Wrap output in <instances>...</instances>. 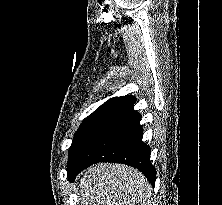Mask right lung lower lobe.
Instances as JSON below:
<instances>
[{"mask_svg": "<svg viewBox=\"0 0 222 205\" xmlns=\"http://www.w3.org/2000/svg\"><path fill=\"white\" fill-rule=\"evenodd\" d=\"M135 97L131 96L107 112L82 145L67 168L68 179L99 162H116L140 170L154 186L156 170L150 161V147L142 141L141 115L134 111Z\"/></svg>", "mask_w": 222, "mask_h": 205, "instance_id": "1", "label": "right lung lower lobe"}]
</instances>
